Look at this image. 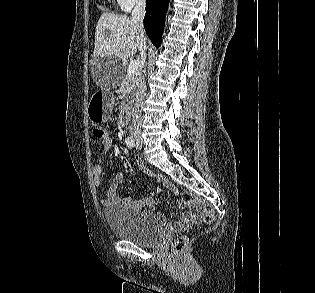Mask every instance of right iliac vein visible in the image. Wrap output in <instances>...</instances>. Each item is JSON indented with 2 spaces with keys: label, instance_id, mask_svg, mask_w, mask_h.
<instances>
[{
  "label": "right iliac vein",
  "instance_id": "1",
  "mask_svg": "<svg viewBox=\"0 0 315 293\" xmlns=\"http://www.w3.org/2000/svg\"><path fill=\"white\" fill-rule=\"evenodd\" d=\"M137 141L142 142L140 139H137Z\"/></svg>",
  "mask_w": 315,
  "mask_h": 293
}]
</instances>
